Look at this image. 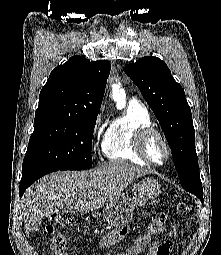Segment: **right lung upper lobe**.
<instances>
[{
	"label": "right lung upper lobe",
	"mask_w": 221,
	"mask_h": 255,
	"mask_svg": "<svg viewBox=\"0 0 221 255\" xmlns=\"http://www.w3.org/2000/svg\"><path fill=\"white\" fill-rule=\"evenodd\" d=\"M110 62L73 56L56 67L40 92L35 115H86L100 110Z\"/></svg>",
	"instance_id": "right-lung-upper-lobe-1"
}]
</instances>
